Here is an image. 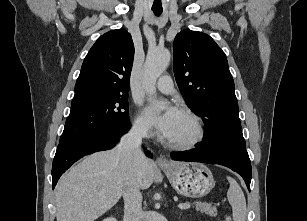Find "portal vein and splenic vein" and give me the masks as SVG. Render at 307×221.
<instances>
[{
  "label": "portal vein and splenic vein",
  "instance_id": "obj_1",
  "mask_svg": "<svg viewBox=\"0 0 307 221\" xmlns=\"http://www.w3.org/2000/svg\"><path fill=\"white\" fill-rule=\"evenodd\" d=\"M190 204H187V203H181L178 205V207L181 209V210H185V209H189L190 208Z\"/></svg>",
  "mask_w": 307,
  "mask_h": 221
}]
</instances>
